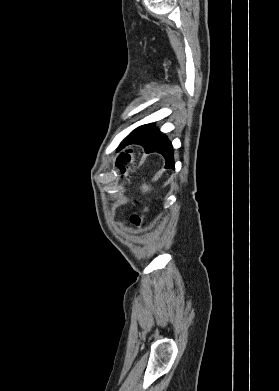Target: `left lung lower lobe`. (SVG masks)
Here are the masks:
<instances>
[{"label": "left lung lower lobe", "instance_id": "0a47b994", "mask_svg": "<svg viewBox=\"0 0 279 391\" xmlns=\"http://www.w3.org/2000/svg\"><path fill=\"white\" fill-rule=\"evenodd\" d=\"M129 144H140L144 147L146 153L159 152L165 158V168H174L173 147L167 137L153 126L137 135L129 136L121 145L124 147Z\"/></svg>", "mask_w": 279, "mask_h": 391}]
</instances>
